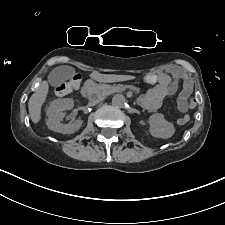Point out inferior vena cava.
I'll return each mask as SVG.
<instances>
[{"instance_id": "602c4592", "label": "inferior vena cava", "mask_w": 225, "mask_h": 225, "mask_svg": "<svg viewBox=\"0 0 225 225\" xmlns=\"http://www.w3.org/2000/svg\"><path fill=\"white\" fill-rule=\"evenodd\" d=\"M103 97H97L95 99H92V101L90 102L91 105H95V104H98L100 103L101 101H103Z\"/></svg>"}]
</instances>
